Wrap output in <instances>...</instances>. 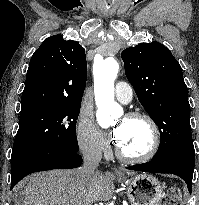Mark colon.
Listing matches in <instances>:
<instances>
[{
    "instance_id": "obj_1",
    "label": "colon",
    "mask_w": 199,
    "mask_h": 205,
    "mask_svg": "<svg viewBox=\"0 0 199 205\" xmlns=\"http://www.w3.org/2000/svg\"><path fill=\"white\" fill-rule=\"evenodd\" d=\"M180 202V189L173 187L169 190L168 194L162 200L161 205H179Z\"/></svg>"
}]
</instances>
